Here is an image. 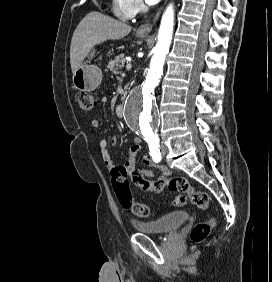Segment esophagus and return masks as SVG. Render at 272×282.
<instances>
[{
	"label": "esophagus",
	"instance_id": "1",
	"mask_svg": "<svg viewBox=\"0 0 272 282\" xmlns=\"http://www.w3.org/2000/svg\"><path fill=\"white\" fill-rule=\"evenodd\" d=\"M161 10H162V9H160V10L158 11V13L156 14V16L154 17V19H153L152 22H147V23L141 24V25L138 27L137 32H138L139 34H142V35H148V34L151 32V30H152V28H153V25H154V24L157 22V20L159 19L160 14H161Z\"/></svg>",
	"mask_w": 272,
	"mask_h": 282
}]
</instances>
